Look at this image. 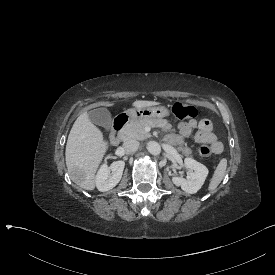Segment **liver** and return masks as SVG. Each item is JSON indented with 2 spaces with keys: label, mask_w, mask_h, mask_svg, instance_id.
<instances>
[{
  "label": "liver",
  "mask_w": 275,
  "mask_h": 275,
  "mask_svg": "<svg viewBox=\"0 0 275 275\" xmlns=\"http://www.w3.org/2000/svg\"><path fill=\"white\" fill-rule=\"evenodd\" d=\"M115 102H104L102 106L113 107ZM160 105L158 101L136 100L132 103L135 108ZM111 148L108 140L104 139L100 128L92 123L88 112H82L72 125L68 135L65 161L70 174L73 168H80L85 173V181L80 188L94 191L96 188V174L106 153Z\"/></svg>",
  "instance_id": "6515ba94"
}]
</instances>
